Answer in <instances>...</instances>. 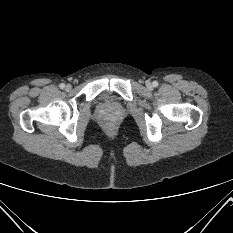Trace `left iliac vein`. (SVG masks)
Here are the masks:
<instances>
[{"instance_id":"obj_1","label":"left iliac vein","mask_w":233,"mask_h":233,"mask_svg":"<svg viewBox=\"0 0 233 233\" xmlns=\"http://www.w3.org/2000/svg\"><path fill=\"white\" fill-rule=\"evenodd\" d=\"M146 86H147V88H149V89L152 88V84H151L150 82H148V83L146 84Z\"/></svg>"}]
</instances>
